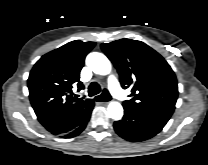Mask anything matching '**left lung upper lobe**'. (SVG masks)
Segmentation results:
<instances>
[{"mask_svg":"<svg viewBox=\"0 0 208 165\" xmlns=\"http://www.w3.org/2000/svg\"><path fill=\"white\" fill-rule=\"evenodd\" d=\"M103 52L115 65L121 86H132L133 98L123 106L136 111L171 116L178 97L176 76L165 61L145 43L120 39L101 45Z\"/></svg>","mask_w":208,"mask_h":165,"instance_id":"obj_1","label":"left lung upper lobe"}]
</instances>
